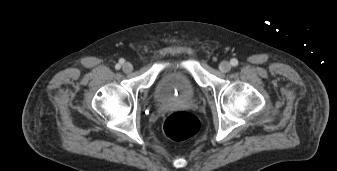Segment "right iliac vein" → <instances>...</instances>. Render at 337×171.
Segmentation results:
<instances>
[{
  "mask_svg": "<svg viewBox=\"0 0 337 171\" xmlns=\"http://www.w3.org/2000/svg\"><path fill=\"white\" fill-rule=\"evenodd\" d=\"M122 69L125 73H129L133 70V66H132L131 63L126 62V63L123 64Z\"/></svg>",
  "mask_w": 337,
  "mask_h": 171,
  "instance_id": "63e3f726",
  "label": "right iliac vein"
}]
</instances>
